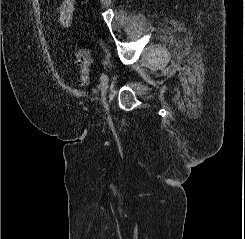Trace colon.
Returning <instances> with one entry per match:
<instances>
[{
    "mask_svg": "<svg viewBox=\"0 0 245 239\" xmlns=\"http://www.w3.org/2000/svg\"><path fill=\"white\" fill-rule=\"evenodd\" d=\"M75 60L79 67L80 76L79 83L87 86L90 83V55L87 49L78 46L75 50Z\"/></svg>",
    "mask_w": 245,
    "mask_h": 239,
    "instance_id": "1",
    "label": "colon"
}]
</instances>
